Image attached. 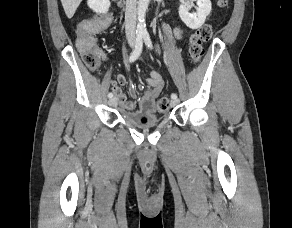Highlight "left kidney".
<instances>
[{"mask_svg":"<svg viewBox=\"0 0 292 228\" xmlns=\"http://www.w3.org/2000/svg\"><path fill=\"white\" fill-rule=\"evenodd\" d=\"M195 0H185V2L179 6V16L181 20L191 29L200 28L206 17L212 10L210 0H197V8L195 13H189L191 3Z\"/></svg>","mask_w":292,"mask_h":228,"instance_id":"5707ae66","label":"left kidney"}]
</instances>
